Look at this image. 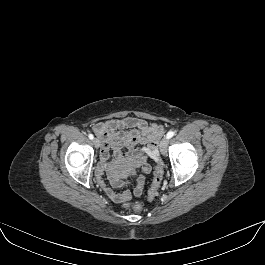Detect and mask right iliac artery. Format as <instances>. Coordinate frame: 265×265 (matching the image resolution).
<instances>
[{"label":"right iliac artery","mask_w":265,"mask_h":265,"mask_svg":"<svg viewBox=\"0 0 265 265\" xmlns=\"http://www.w3.org/2000/svg\"><path fill=\"white\" fill-rule=\"evenodd\" d=\"M88 137H89V139H91V140L94 138V136H93L92 134H89Z\"/></svg>","instance_id":"obj_1"}]
</instances>
